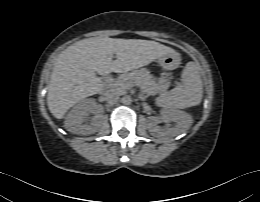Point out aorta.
<instances>
[{"label":"aorta","mask_w":260,"mask_h":202,"mask_svg":"<svg viewBox=\"0 0 260 202\" xmlns=\"http://www.w3.org/2000/svg\"><path fill=\"white\" fill-rule=\"evenodd\" d=\"M121 102L124 104V105H130L131 102H132V98L131 96L129 95H124L121 99Z\"/></svg>","instance_id":"1"}]
</instances>
